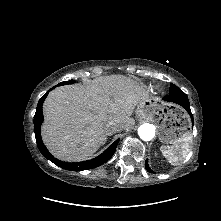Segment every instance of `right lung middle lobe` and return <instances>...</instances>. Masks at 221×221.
<instances>
[{"instance_id": "1", "label": "right lung middle lobe", "mask_w": 221, "mask_h": 221, "mask_svg": "<svg viewBox=\"0 0 221 221\" xmlns=\"http://www.w3.org/2000/svg\"><path fill=\"white\" fill-rule=\"evenodd\" d=\"M73 83H74V80H69V81L61 82L57 86H62V85H66V84H73Z\"/></svg>"}]
</instances>
